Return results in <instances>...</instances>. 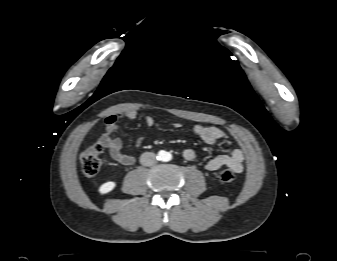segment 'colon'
Segmentation results:
<instances>
[{
    "instance_id": "obj_1",
    "label": "colon",
    "mask_w": 337,
    "mask_h": 261,
    "mask_svg": "<svg viewBox=\"0 0 337 261\" xmlns=\"http://www.w3.org/2000/svg\"><path fill=\"white\" fill-rule=\"evenodd\" d=\"M104 147L100 143H95L84 148L80 153V164L82 172L88 176H95L102 166V155ZM235 175L231 169H223L219 173V179L224 183H231Z\"/></svg>"
}]
</instances>
